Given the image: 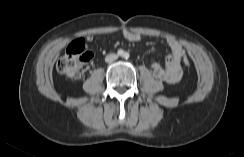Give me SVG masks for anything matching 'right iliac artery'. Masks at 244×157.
Instances as JSON below:
<instances>
[{
	"instance_id": "1",
	"label": "right iliac artery",
	"mask_w": 244,
	"mask_h": 157,
	"mask_svg": "<svg viewBox=\"0 0 244 157\" xmlns=\"http://www.w3.org/2000/svg\"><path fill=\"white\" fill-rule=\"evenodd\" d=\"M117 55L120 56V57L123 56V55H124L123 50H121V49L118 50V51H117Z\"/></svg>"
}]
</instances>
